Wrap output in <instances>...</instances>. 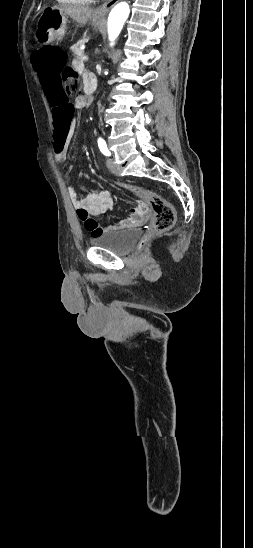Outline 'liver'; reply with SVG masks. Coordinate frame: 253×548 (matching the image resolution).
I'll list each match as a JSON object with an SVG mask.
<instances>
[{"label": "liver", "mask_w": 253, "mask_h": 548, "mask_svg": "<svg viewBox=\"0 0 253 548\" xmlns=\"http://www.w3.org/2000/svg\"><path fill=\"white\" fill-rule=\"evenodd\" d=\"M52 9L59 10L61 13L71 17L80 25H86L94 14L93 9L83 5L54 6Z\"/></svg>", "instance_id": "6515ba94"}]
</instances>
